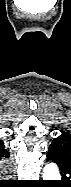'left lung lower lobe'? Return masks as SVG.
Returning a JSON list of instances; mask_svg holds the SVG:
<instances>
[{
  "label": "left lung lower lobe",
  "mask_w": 71,
  "mask_h": 187,
  "mask_svg": "<svg viewBox=\"0 0 71 187\" xmlns=\"http://www.w3.org/2000/svg\"><path fill=\"white\" fill-rule=\"evenodd\" d=\"M47 160L53 161L58 165L61 171L60 173L62 175V178L64 181H66L68 179V176L71 175V161L69 160V158L59 151L49 148Z\"/></svg>",
  "instance_id": "obj_1"
}]
</instances>
